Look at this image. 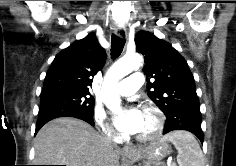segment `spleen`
<instances>
[{"mask_svg": "<svg viewBox=\"0 0 236 166\" xmlns=\"http://www.w3.org/2000/svg\"><path fill=\"white\" fill-rule=\"evenodd\" d=\"M162 142H171L178 151L179 166H205L204 155L194 135L178 130L165 135Z\"/></svg>", "mask_w": 236, "mask_h": 166, "instance_id": "spleen-1", "label": "spleen"}]
</instances>
